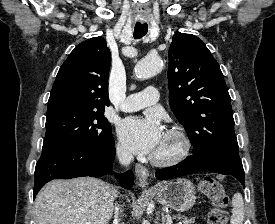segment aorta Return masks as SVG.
<instances>
[{
  "label": "aorta",
  "instance_id": "obj_1",
  "mask_svg": "<svg viewBox=\"0 0 275 224\" xmlns=\"http://www.w3.org/2000/svg\"><path fill=\"white\" fill-rule=\"evenodd\" d=\"M162 68L163 61L159 56H148L136 64L135 74L138 78L147 79L159 73Z\"/></svg>",
  "mask_w": 275,
  "mask_h": 224
}]
</instances>
